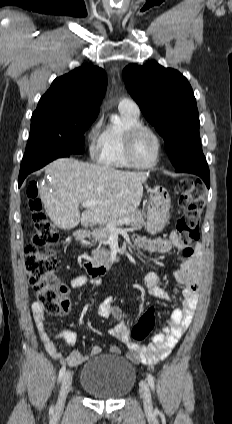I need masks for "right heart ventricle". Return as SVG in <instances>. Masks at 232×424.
Returning a JSON list of instances; mask_svg holds the SVG:
<instances>
[{"instance_id":"right-heart-ventricle-1","label":"right heart ventricle","mask_w":232,"mask_h":424,"mask_svg":"<svg viewBox=\"0 0 232 424\" xmlns=\"http://www.w3.org/2000/svg\"><path fill=\"white\" fill-rule=\"evenodd\" d=\"M139 124L140 113L119 109V120L108 123L99 135L98 162L114 168L132 167L125 156V138L128 130Z\"/></svg>"}]
</instances>
